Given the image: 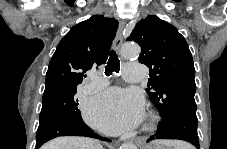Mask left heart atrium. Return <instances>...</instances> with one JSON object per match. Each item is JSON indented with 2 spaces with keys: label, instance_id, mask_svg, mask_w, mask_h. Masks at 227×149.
<instances>
[{
  "label": "left heart atrium",
  "instance_id": "39dd6f15",
  "mask_svg": "<svg viewBox=\"0 0 227 149\" xmlns=\"http://www.w3.org/2000/svg\"><path fill=\"white\" fill-rule=\"evenodd\" d=\"M144 99L133 90L110 88L89 100L84 114L91 125L109 134L133 129L143 117Z\"/></svg>",
  "mask_w": 227,
  "mask_h": 149
}]
</instances>
